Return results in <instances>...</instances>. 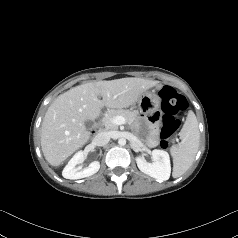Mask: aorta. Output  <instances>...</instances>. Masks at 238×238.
I'll use <instances>...</instances> for the list:
<instances>
[{
    "label": "aorta",
    "instance_id": "762f6f07",
    "mask_svg": "<svg viewBox=\"0 0 238 238\" xmlns=\"http://www.w3.org/2000/svg\"><path fill=\"white\" fill-rule=\"evenodd\" d=\"M118 144H119L120 146L126 145V139H125V138H120V139L118 140Z\"/></svg>",
    "mask_w": 238,
    "mask_h": 238
}]
</instances>
